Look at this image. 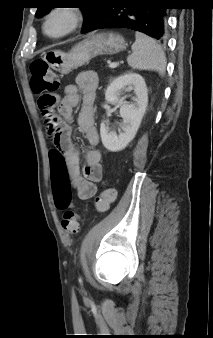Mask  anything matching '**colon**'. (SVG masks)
<instances>
[{
  "label": "colon",
  "instance_id": "1",
  "mask_svg": "<svg viewBox=\"0 0 213 338\" xmlns=\"http://www.w3.org/2000/svg\"><path fill=\"white\" fill-rule=\"evenodd\" d=\"M31 88L38 96V107L51 129L53 143L59 146L62 141V133L57 126V120L53 115L56 104V93L60 87L57 75L49 68L48 64L41 59L33 60L30 65ZM54 202L57 208L64 209L62 228L67 235H76L79 231V215L69 208L72 201V193L67 185L64 173L56 174L53 183ZM116 192L113 189L103 191L95 200V208L99 212L108 211L110 204L115 200Z\"/></svg>",
  "mask_w": 213,
  "mask_h": 338
}]
</instances>
